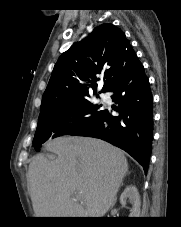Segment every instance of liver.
<instances>
[{
	"mask_svg": "<svg viewBox=\"0 0 181 227\" xmlns=\"http://www.w3.org/2000/svg\"><path fill=\"white\" fill-rule=\"evenodd\" d=\"M46 149L56 159L37 155L28 170L36 217L105 215L128 170L123 151L99 139L71 136L49 141Z\"/></svg>",
	"mask_w": 181,
	"mask_h": 227,
	"instance_id": "liver-1",
	"label": "liver"
}]
</instances>
